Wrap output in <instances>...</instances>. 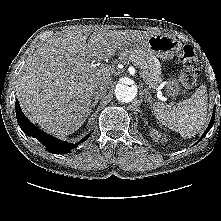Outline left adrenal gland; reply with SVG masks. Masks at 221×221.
<instances>
[{
	"mask_svg": "<svg viewBox=\"0 0 221 221\" xmlns=\"http://www.w3.org/2000/svg\"><path fill=\"white\" fill-rule=\"evenodd\" d=\"M143 91L145 93V100L150 103V106L152 108L154 106V104H153V98H152L150 92L146 88Z\"/></svg>",
	"mask_w": 221,
	"mask_h": 221,
	"instance_id": "a2214340",
	"label": "left adrenal gland"
}]
</instances>
